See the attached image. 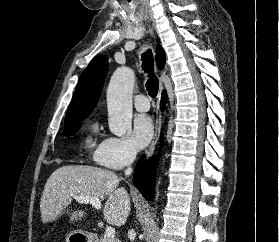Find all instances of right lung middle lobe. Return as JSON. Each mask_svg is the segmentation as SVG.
<instances>
[{
    "label": "right lung middle lobe",
    "instance_id": "right-lung-middle-lobe-1",
    "mask_svg": "<svg viewBox=\"0 0 279 242\" xmlns=\"http://www.w3.org/2000/svg\"><path fill=\"white\" fill-rule=\"evenodd\" d=\"M80 122L73 123V124H66L63 130V134L65 136L73 135L80 128L81 125Z\"/></svg>",
    "mask_w": 279,
    "mask_h": 242
}]
</instances>
